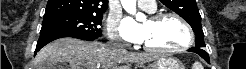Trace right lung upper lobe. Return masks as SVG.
I'll return each instance as SVG.
<instances>
[{
	"mask_svg": "<svg viewBox=\"0 0 246 69\" xmlns=\"http://www.w3.org/2000/svg\"><path fill=\"white\" fill-rule=\"evenodd\" d=\"M108 0H48L44 17L62 14L103 15Z\"/></svg>",
	"mask_w": 246,
	"mask_h": 69,
	"instance_id": "cb5924a9",
	"label": "right lung upper lobe"
}]
</instances>
